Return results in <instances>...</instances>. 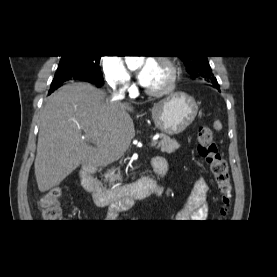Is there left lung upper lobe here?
Segmentation results:
<instances>
[{
  "label": "left lung upper lobe",
  "mask_w": 277,
  "mask_h": 277,
  "mask_svg": "<svg viewBox=\"0 0 277 277\" xmlns=\"http://www.w3.org/2000/svg\"><path fill=\"white\" fill-rule=\"evenodd\" d=\"M185 62L188 72L193 77H202L208 82L218 84L212 69L207 60V56H179Z\"/></svg>",
  "instance_id": "1"
}]
</instances>
